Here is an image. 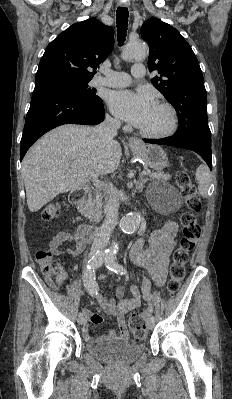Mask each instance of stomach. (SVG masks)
<instances>
[{"instance_id": "1", "label": "stomach", "mask_w": 232, "mask_h": 399, "mask_svg": "<svg viewBox=\"0 0 232 399\" xmlns=\"http://www.w3.org/2000/svg\"><path fill=\"white\" fill-rule=\"evenodd\" d=\"M130 150L134 158H138L152 170H163L168 166V158L160 146H150V144H144L142 140H137Z\"/></svg>"}]
</instances>
